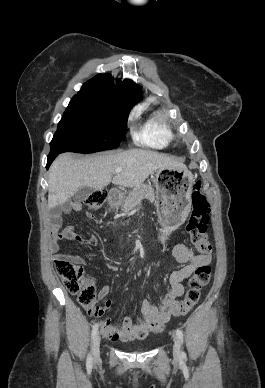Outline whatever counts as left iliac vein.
I'll list each match as a JSON object with an SVG mask.
<instances>
[{
  "label": "left iliac vein",
  "mask_w": 265,
  "mask_h": 388,
  "mask_svg": "<svg viewBox=\"0 0 265 388\" xmlns=\"http://www.w3.org/2000/svg\"><path fill=\"white\" fill-rule=\"evenodd\" d=\"M173 355L176 360L181 359V344L178 337L174 338Z\"/></svg>",
  "instance_id": "4c4485c4"
}]
</instances>
